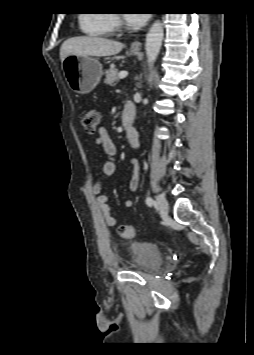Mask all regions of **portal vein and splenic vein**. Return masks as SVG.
<instances>
[{
    "label": "portal vein and splenic vein",
    "instance_id": "portal-vein-and-splenic-vein-1",
    "mask_svg": "<svg viewBox=\"0 0 254 355\" xmlns=\"http://www.w3.org/2000/svg\"><path fill=\"white\" fill-rule=\"evenodd\" d=\"M118 76H119L120 79H124V78H126L128 76V72L121 71Z\"/></svg>",
    "mask_w": 254,
    "mask_h": 355
}]
</instances>
